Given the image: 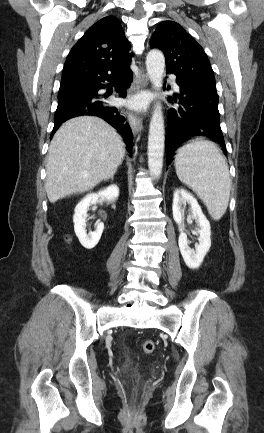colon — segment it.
Instances as JSON below:
<instances>
[{
	"label": "colon",
	"mask_w": 264,
	"mask_h": 433,
	"mask_svg": "<svg viewBox=\"0 0 264 433\" xmlns=\"http://www.w3.org/2000/svg\"><path fill=\"white\" fill-rule=\"evenodd\" d=\"M141 347L144 353L151 354L155 350V342L151 339H145Z\"/></svg>",
	"instance_id": "colon-1"
}]
</instances>
